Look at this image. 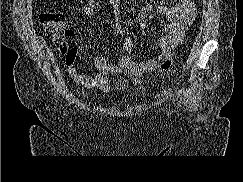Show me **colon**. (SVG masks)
<instances>
[{
    "label": "colon",
    "mask_w": 243,
    "mask_h": 182,
    "mask_svg": "<svg viewBox=\"0 0 243 182\" xmlns=\"http://www.w3.org/2000/svg\"><path fill=\"white\" fill-rule=\"evenodd\" d=\"M39 21L45 32L51 37L55 46L65 55H70V48L67 39L71 36V32L65 27V16L61 12L45 11L39 15ZM173 61L170 57L164 58L160 62L163 70L171 68Z\"/></svg>",
    "instance_id": "1"
}]
</instances>
